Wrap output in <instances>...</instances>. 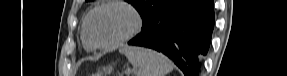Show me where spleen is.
<instances>
[{"mask_svg":"<svg viewBox=\"0 0 287 76\" xmlns=\"http://www.w3.org/2000/svg\"><path fill=\"white\" fill-rule=\"evenodd\" d=\"M119 51L138 69L137 76H165L173 69L172 62L166 56L151 49L124 46Z\"/></svg>","mask_w":287,"mask_h":76,"instance_id":"3e777b00","label":"spleen"}]
</instances>
